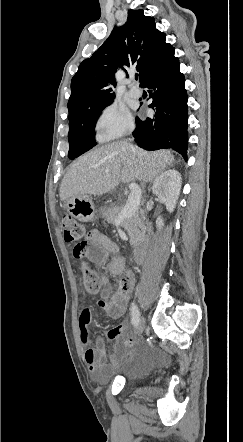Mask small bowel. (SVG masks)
I'll return each instance as SVG.
<instances>
[{
	"mask_svg": "<svg viewBox=\"0 0 243 442\" xmlns=\"http://www.w3.org/2000/svg\"><path fill=\"white\" fill-rule=\"evenodd\" d=\"M89 246L84 256L94 263L103 265L111 274L119 276L118 286L111 289L107 286L108 279L102 278L104 287L99 292L100 299L97 306L103 314L110 319H119L125 314L126 303L134 286V274L126 269L125 258L120 253L117 244L98 229H92L87 234ZM92 319V307L84 305L79 311V330L84 346V360L88 365L92 377L97 381L107 379L114 371L117 363L126 353L125 347L133 345L132 338H125L121 341L126 323L122 322L106 334L110 342H115L111 360L108 361L105 352V342L101 337L93 338L89 325Z\"/></svg>",
	"mask_w": 243,
	"mask_h": 442,
	"instance_id": "1",
	"label": "small bowel"
}]
</instances>
